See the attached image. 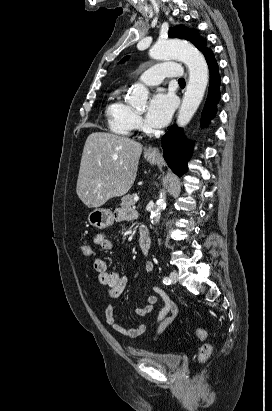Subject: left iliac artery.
Listing matches in <instances>:
<instances>
[{"label":"left iliac artery","mask_w":272,"mask_h":411,"mask_svg":"<svg viewBox=\"0 0 272 411\" xmlns=\"http://www.w3.org/2000/svg\"><path fill=\"white\" fill-rule=\"evenodd\" d=\"M163 283L166 284V285H169V284H171V279L169 277H165L163 279Z\"/></svg>","instance_id":"1"}]
</instances>
